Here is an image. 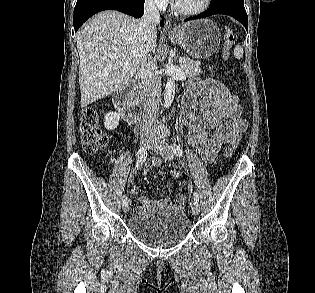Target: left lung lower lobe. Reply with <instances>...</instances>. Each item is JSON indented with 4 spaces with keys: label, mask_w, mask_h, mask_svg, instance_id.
<instances>
[{
    "label": "left lung lower lobe",
    "mask_w": 315,
    "mask_h": 293,
    "mask_svg": "<svg viewBox=\"0 0 315 293\" xmlns=\"http://www.w3.org/2000/svg\"><path fill=\"white\" fill-rule=\"evenodd\" d=\"M214 14H225L234 17L241 22L248 31V16L244 7V1L239 0H224L215 5H212L205 12L188 18V20H194L199 18H205Z\"/></svg>",
    "instance_id": "1"
}]
</instances>
